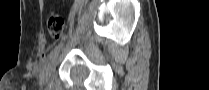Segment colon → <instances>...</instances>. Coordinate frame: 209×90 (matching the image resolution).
<instances>
[{"label":"colon","instance_id":"1","mask_svg":"<svg viewBox=\"0 0 209 90\" xmlns=\"http://www.w3.org/2000/svg\"><path fill=\"white\" fill-rule=\"evenodd\" d=\"M47 28L54 39H60L64 33L65 20L59 13L52 12L48 16Z\"/></svg>","mask_w":209,"mask_h":90}]
</instances>
